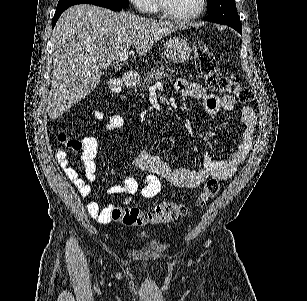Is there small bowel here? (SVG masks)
<instances>
[{
    "mask_svg": "<svg viewBox=\"0 0 307 301\" xmlns=\"http://www.w3.org/2000/svg\"><path fill=\"white\" fill-rule=\"evenodd\" d=\"M175 88L185 96L201 100L203 111L211 117H215L222 110L232 111L237 106L234 96L225 95L218 97L208 94L205 87L196 82L179 79L175 84ZM241 119L244 128L240 136V142L230 157L217 160L212 158L206 151H202V167L200 169H189L186 167L173 169L159 156L147 150H141L133 162L135 166L147 171L149 175L146 176L141 185L133 176H125L120 184L113 185L108 189V194L123 195L124 203L128 204L138 192L144 198H153L167 184L177 188L191 189L199 187L208 178H214L216 180L229 179L234 175L237 167L248 157L255 139L257 116L254 110L249 106H244L241 110ZM122 125V117L120 115H113L107 124V128L114 130L121 128ZM98 147L99 144L95 137L87 136L83 138L82 161L85 169V177L91 182L96 178L95 159L98 154ZM55 157L68 179L77 188L81 197L86 200L88 214L99 223H108L111 219V212L114 206L108 205L102 208L97 202L90 199V186L75 168L71 166L66 152L63 149H58Z\"/></svg>",
    "mask_w": 307,
    "mask_h": 301,
    "instance_id": "c3829d8e",
    "label": "small bowel"
}]
</instances>
